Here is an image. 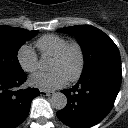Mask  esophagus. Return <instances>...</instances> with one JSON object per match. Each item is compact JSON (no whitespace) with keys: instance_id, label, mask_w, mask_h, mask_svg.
I'll return each instance as SVG.
<instances>
[{"instance_id":"1","label":"esophagus","mask_w":128,"mask_h":128,"mask_svg":"<svg viewBox=\"0 0 128 128\" xmlns=\"http://www.w3.org/2000/svg\"><path fill=\"white\" fill-rule=\"evenodd\" d=\"M40 95L41 96H51L52 95V92L45 91V90H40Z\"/></svg>"}]
</instances>
